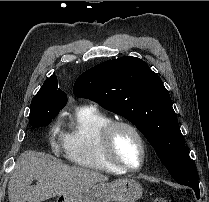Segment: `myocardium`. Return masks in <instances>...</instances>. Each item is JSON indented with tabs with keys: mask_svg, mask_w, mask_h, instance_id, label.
<instances>
[{
	"mask_svg": "<svg viewBox=\"0 0 209 202\" xmlns=\"http://www.w3.org/2000/svg\"><path fill=\"white\" fill-rule=\"evenodd\" d=\"M120 128H124L132 132L140 143L142 157L140 164L136 167L122 162L113 153L112 138L116 130ZM100 148L102 154L111 165L126 172L139 171L144 166L148 155V146L144 135L136 125L125 120H114L106 126L100 138Z\"/></svg>",
	"mask_w": 209,
	"mask_h": 202,
	"instance_id": "myocardium-1",
	"label": "myocardium"
}]
</instances>
